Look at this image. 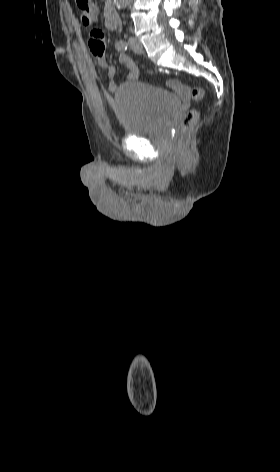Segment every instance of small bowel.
Masks as SVG:
<instances>
[{"label": "small bowel", "mask_w": 280, "mask_h": 472, "mask_svg": "<svg viewBox=\"0 0 280 472\" xmlns=\"http://www.w3.org/2000/svg\"><path fill=\"white\" fill-rule=\"evenodd\" d=\"M89 49L91 54L94 56L96 64L105 69L107 72V77L109 79V90L115 91L116 84L114 78L116 75V67L110 64L105 56V43H104V33L100 29H92L89 34L88 41ZM118 61L121 65L125 66L129 73L127 79L130 81L136 80L139 77V69L135 62L126 54L122 53L119 55ZM168 84L172 87H179V83L176 80H169Z\"/></svg>", "instance_id": "obj_1"}]
</instances>
